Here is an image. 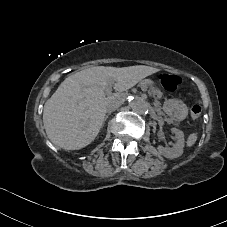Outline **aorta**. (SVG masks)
<instances>
[{"label": "aorta", "mask_w": 227, "mask_h": 227, "mask_svg": "<svg viewBox=\"0 0 227 227\" xmlns=\"http://www.w3.org/2000/svg\"><path fill=\"white\" fill-rule=\"evenodd\" d=\"M132 110L138 114H146L149 110V103L142 98H135L130 102Z\"/></svg>", "instance_id": "762f6f07"}]
</instances>
